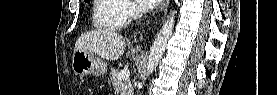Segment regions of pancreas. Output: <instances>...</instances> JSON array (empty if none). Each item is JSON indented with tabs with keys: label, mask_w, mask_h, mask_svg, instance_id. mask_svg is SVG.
Here are the masks:
<instances>
[{
	"label": "pancreas",
	"mask_w": 277,
	"mask_h": 95,
	"mask_svg": "<svg viewBox=\"0 0 277 95\" xmlns=\"http://www.w3.org/2000/svg\"><path fill=\"white\" fill-rule=\"evenodd\" d=\"M119 71L115 68L110 69V81L117 95H131L132 85L129 79L120 80L118 78Z\"/></svg>",
	"instance_id": "pancreas-1"
}]
</instances>
